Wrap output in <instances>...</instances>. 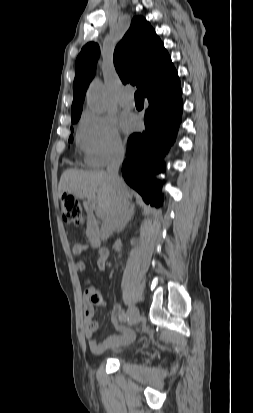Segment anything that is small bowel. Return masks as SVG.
I'll use <instances>...</instances> for the list:
<instances>
[{
  "mask_svg": "<svg viewBox=\"0 0 253 413\" xmlns=\"http://www.w3.org/2000/svg\"><path fill=\"white\" fill-rule=\"evenodd\" d=\"M89 249H91V246L89 244L78 243L74 246L73 253L76 257H78ZM97 253V268L99 271H104L109 253L108 251L103 253L99 249H97ZM75 267L80 272L86 271V266L82 261H77L75 263ZM94 290H96L94 285L88 283L84 294V332L91 352L94 354H101L107 349L130 344L135 338V332L133 329L122 328L118 325L116 319L120 315V313L117 307H114L112 309L111 316L114 327L119 331V334L111 335L102 341H98L95 338L94 335L97 332L99 325L94 320V307L90 301V294Z\"/></svg>",
  "mask_w": 253,
  "mask_h": 413,
  "instance_id": "obj_1",
  "label": "small bowel"
}]
</instances>
